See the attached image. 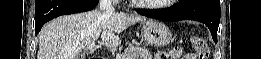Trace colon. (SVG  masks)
<instances>
[{"mask_svg":"<svg viewBox=\"0 0 261 59\" xmlns=\"http://www.w3.org/2000/svg\"><path fill=\"white\" fill-rule=\"evenodd\" d=\"M193 45L196 50V55L192 58H207L208 56V45L207 43L201 39V38H194L193 39ZM169 56L171 58L177 59V58H186L185 55L183 56V50L180 47H174L169 51Z\"/></svg>","mask_w":261,"mask_h":59,"instance_id":"5ec220e1","label":"colon"}]
</instances>
